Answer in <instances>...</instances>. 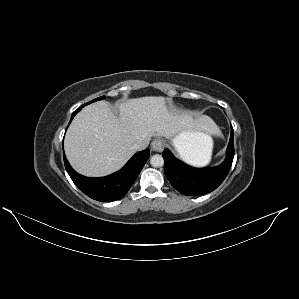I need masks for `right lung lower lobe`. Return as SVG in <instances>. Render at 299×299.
Wrapping results in <instances>:
<instances>
[{
	"instance_id": "obj_1",
	"label": "right lung lower lobe",
	"mask_w": 299,
	"mask_h": 299,
	"mask_svg": "<svg viewBox=\"0 0 299 299\" xmlns=\"http://www.w3.org/2000/svg\"><path fill=\"white\" fill-rule=\"evenodd\" d=\"M84 106L85 104L73 112L70 122ZM63 156L69 176L83 193L97 201L111 202L122 198L128 192L149 158L150 150L146 149L136 153L122 169L100 178H89L78 174L70 166L65 154Z\"/></svg>"
}]
</instances>
